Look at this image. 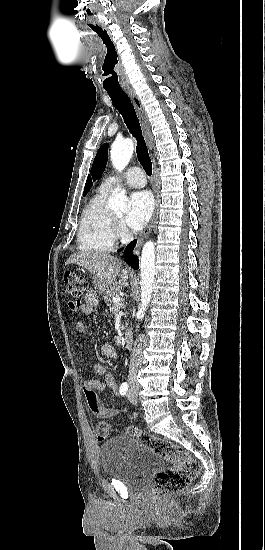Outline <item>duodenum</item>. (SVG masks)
<instances>
[{
    "mask_svg": "<svg viewBox=\"0 0 265 550\" xmlns=\"http://www.w3.org/2000/svg\"><path fill=\"white\" fill-rule=\"evenodd\" d=\"M124 345L127 349H131L133 346L132 334L129 331H126L124 333Z\"/></svg>",
    "mask_w": 265,
    "mask_h": 550,
    "instance_id": "obj_1",
    "label": "duodenum"
}]
</instances>
